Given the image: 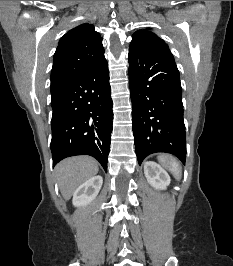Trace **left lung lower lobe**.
Instances as JSON below:
<instances>
[{
	"label": "left lung lower lobe",
	"mask_w": 233,
	"mask_h": 266,
	"mask_svg": "<svg viewBox=\"0 0 233 266\" xmlns=\"http://www.w3.org/2000/svg\"><path fill=\"white\" fill-rule=\"evenodd\" d=\"M129 83L139 165L155 152L174 154L185 164L182 88L173 55L130 48Z\"/></svg>",
	"instance_id": "obj_1"
}]
</instances>
